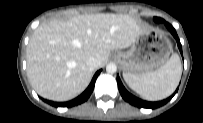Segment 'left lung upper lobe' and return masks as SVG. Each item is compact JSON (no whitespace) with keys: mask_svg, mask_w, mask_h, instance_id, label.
Returning a JSON list of instances; mask_svg holds the SVG:
<instances>
[{"mask_svg":"<svg viewBox=\"0 0 203 123\" xmlns=\"http://www.w3.org/2000/svg\"><path fill=\"white\" fill-rule=\"evenodd\" d=\"M154 20H155L156 22H160L159 18H157V17H155Z\"/></svg>","mask_w":203,"mask_h":123,"instance_id":"left-lung-upper-lobe-1","label":"left lung upper lobe"}]
</instances>
